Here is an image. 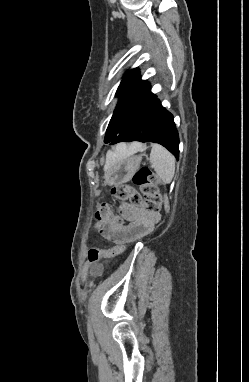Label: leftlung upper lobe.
<instances>
[{"label":"left lung upper lobe","instance_id":"1","mask_svg":"<svg viewBox=\"0 0 249 382\" xmlns=\"http://www.w3.org/2000/svg\"><path fill=\"white\" fill-rule=\"evenodd\" d=\"M116 95L119 96V101L104 139L108 144L119 133L132 127L156 98L150 91V84L140 79L138 69L129 71L123 77Z\"/></svg>","mask_w":249,"mask_h":382}]
</instances>
